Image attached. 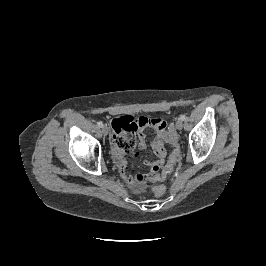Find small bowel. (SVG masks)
<instances>
[{
  "label": "small bowel",
  "mask_w": 266,
  "mask_h": 266,
  "mask_svg": "<svg viewBox=\"0 0 266 266\" xmlns=\"http://www.w3.org/2000/svg\"><path fill=\"white\" fill-rule=\"evenodd\" d=\"M146 127H152L156 131V139L152 143L155 159L148 162L149 172L147 174H130L128 164L133 156L138 155L134 153L135 148L143 149L146 147L143 133ZM166 127V122L161 118L118 116L111 121L113 130L111 141L120 175L135 192L143 191L144 181L155 174L164 164L167 154L165 143L169 142V131Z\"/></svg>",
  "instance_id": "c3829d8e"
}]
</instances>
